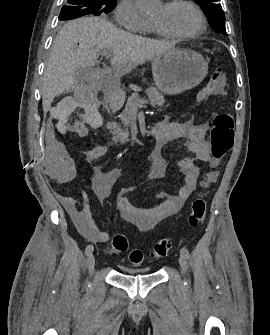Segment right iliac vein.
Returning <instances> with one entry per match:
<instances>
[{
	"mask_svg": "<svg viewBox=\"0 0 270 335\" xmlns=\"http://www.w3.org/2000/svg\"><path fill=\"white\" fill-rule=\"evenodd\" d=\"M94 265H95V257L94 255L91 253L89 256H88V269H89V272L92 273L93 270H94Z\"/></svg>",
	"mask_w": 270,
	"mask_h": 335,
	"instance_id": "right-iliac-vein-1",
	"label": "right iliac vein"
}]
</instances>
